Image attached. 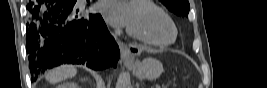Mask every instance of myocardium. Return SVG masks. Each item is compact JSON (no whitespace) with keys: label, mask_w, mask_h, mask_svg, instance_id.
<instances>
[{"label":"myocardium","mask_w":267,"mask_h":88,"mask_svg":"<svg viewBox=\"0 0 267 88\" xmlns=\"http://www.w3.org/2000/svg\"><path fill=\"white\" fill-rule=\"evenodd\" d=\"M132 4L147 6L148 8H152V9L158 11L161 15L165 16L166 18H168L169 21L171 22L173 28H174V37L169 42H155V41H151L149 39H146V38L138 35L137 33H135L134 31H132L128 27L127 28V33L131 37H133V38H135V39H137V40H139V41H141V42H143L145 44L152 45V46H158V47H165V46H169V45H172L173 43H175V41L177 40V37H178V28H177L175 22L173 21V19L163 9H161L158 6H156L152 2L146 1V0H136V1H133Z\"/></svg>","instance_id":"obj_1"}]
</instances>
